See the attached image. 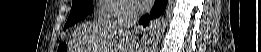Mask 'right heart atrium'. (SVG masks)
<instances>
[{"instance_id":"1","label":"right heart atrium","mask_w":261,"mask_h":52,"mask_svg":"<svg viewBox=\"0 0 261 52\" xmlns=\"http://www.w3.org/2000/svg\"><path fill=\"white\" fill-rule=\"evenodd\" d=\"M104 5L112 8L102 15L116 18H132L136 15V8L129 0H102Z\"/></svg>"}]
</instances>
